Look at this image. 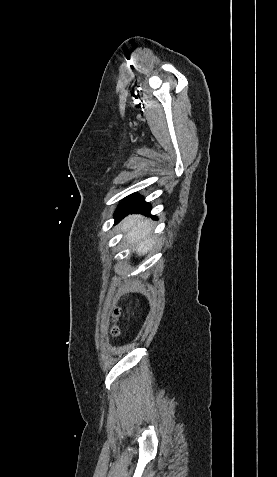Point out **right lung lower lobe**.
<instances>
[{
    "instance_id": "right-lung-lower-lobe-1",
    "label": "right lung lower lobe",
    "mask_w": 277,
    "mask_h": 477,
    "mask_svg": "<svg viewBox=\"0 0 277 477\" xmlns=\"http://www.w3.org/2000/svg\"><path fill=\"white\" fill-rule=\"evenodd\" d=\"M150 210V204L145 202L143 197H140L130 208L122 212L118 219H121L122 217L132 213L149 214Z\"/></svg>"
}]
</instances>
